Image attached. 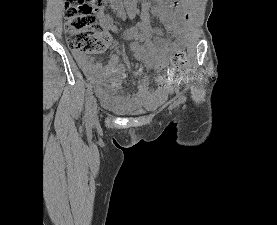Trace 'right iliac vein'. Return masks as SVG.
I'll list each match as a JSON object with an SVG mask.
<instances>
[{
    "label": "right iliac vein",
    "instance_id": "obj_1",
    "mask_svg": "<svg viewBox=\"0 0 277 225\" xmlns=\"http://www.w3.org/2000/svg\"><path fill=\"white\" fill-rule=\"evenodd\" d=\"M97 117V104L96 99L92 98L91 100V107H90V119L94 120Z\"/></svg>",
    "mask_w": 277,
    "mask_h": 225
}]
</instances>
